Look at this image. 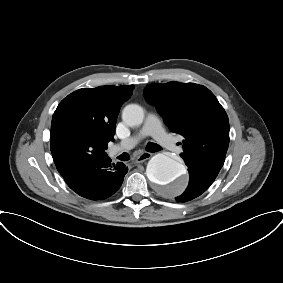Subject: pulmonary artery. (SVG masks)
<instances>
[{
  "instance_id": "obj_1",
  "label": "pulmonary artery",
  "mask_w": 283,
  "mask_h": 283,
  "mask_svg": "<svg viewBox=\"0 0 283 283\" xmlns=\"http://www.w3.org/2000/svg\"><path fill=\"white\" fill-rule=\"evenodd\" d=\"M147 136H152L159 143V145L170 151L175 152L179 150L176 141L165 132L159 116L155 113H150L147 116V119L142 129L137 134L122 141L118 145V149L133 148Z\"/></svg>"
}]
</instances>
